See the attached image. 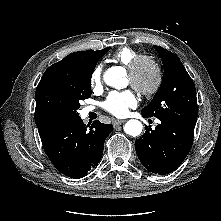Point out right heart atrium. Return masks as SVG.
Instances as JSON below:
<instances>
[{
    "mask_svg": "<svg viewBox=\"0 0 221 221\" xmlns=\"http://www.w3.org/2000/svg\"><path fill=\"white\" fill-rule=\"evenodd\" d=\"M102 81V68L100 65H97L90 76V84L92 88L96 89L101 86Z\"/></svg>",
    "mask_w": 221,
    "mask_h": 221,
    "instance_id": "1",
    "label": "right heart atrium"
}]
</instances>
